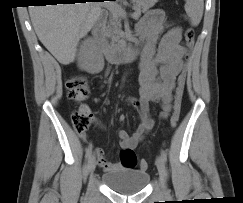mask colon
<instances>
[{
	"instance_id": "colon-1",
	"label": "colon",
	"mask_w": 243,
	"mask_h": 203,
	"mask_svg": "<svg viewBox=\"0 0 243 203\" xmlns=\"http://www.w3.org/2000/svg\"><path fill=\"white\" fill-rule=\"evenodd\" d=\"M185 43L188 49H191L195 42V32L191 27H188L184 33ZM185 73H181L178 78V83L175 92L174 108L170 119V124L175 127L180 118V107L182 96L185 87ZM66 89L68 97L76 102L85 100L89 94V86L86 78L83 75L75 74L69 77L66 81ZM93 121V115L88 108L81 106L72 113V122L77 134L83 135L86 133ZM120 162L123 168L132 169L137 165L135 152L131 148H122L120 151ZM139 167L142 170L147 169L148 163L146 160L139 162Z\"/></svg>"
}]
</instances>
